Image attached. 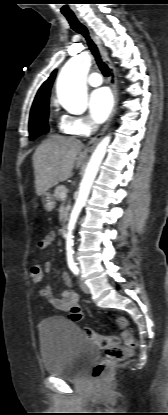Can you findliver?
I'll return each instance as SVG.
<instances>
[{"label": "liver", "instance_id": "6515ba94", "mask_svg": "<svg viewBox=\"0 0 168 415\" xmlns=\"http://www.w3.org/2000/svg\"><path fill=\"white\" fill-rule=\"evenodd\" d=\"M81 141L53 136L43 141L33 155L36 194L42 196L59 182L72 177L86 156Z\"/></svg>", "mask_w": 168, "mask_h": 415}]
</instances>
